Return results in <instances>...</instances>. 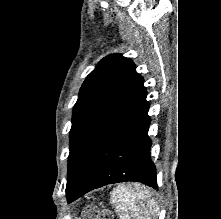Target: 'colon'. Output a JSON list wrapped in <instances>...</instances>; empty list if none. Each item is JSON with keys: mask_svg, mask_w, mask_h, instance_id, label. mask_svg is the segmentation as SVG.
<instances>
[{"mask_svg": "<svg viewBox=\"0 0 221 219\" xmlns=\"http://www.w3.org/2000/svg\"><path fill=\"white\" fill-rule=\"evenodd\" d=\"M80 219H116L111 213L105 210H99L94 206H87Z\"/></svg>", "mask_w": 221, "mask_h": 219, "instance_id": "1", "label": "colon"}]
</instances>
